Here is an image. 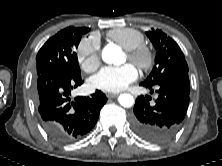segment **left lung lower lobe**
Wrapping results in <instances>:
<instances>
[{"label":"left lung lower lobe","instance_id":"0a47b994","mask_svg":"<svg viewBox=\"0 0 222 166\" xmlns=\"http://www.w3.org/2000/svg\"><path fill=\"white\" fill-rule=\"evenodd\" d=\"M158 98L150 103V97L139 96L131 116V126L142 139L162 144L170 141L180 130L185 118L190 94L189 77H170L156 85ZM153 90H151L152 92Z\"/></svg>","mask_w":222,"mask_h":166}]
</instances>
